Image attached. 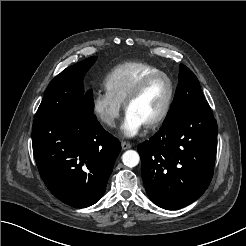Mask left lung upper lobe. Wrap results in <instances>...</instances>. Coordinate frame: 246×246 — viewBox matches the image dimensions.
<instances>
[{
  "label": "left lung upper lobe",
  "instance_id": "obj_1",
  "mask_svg": "<svg viewBox=\"0 0 246 246\" xmlns=\"http://www.w3.org/2000/svg\"><path fill=\"white\" fill-rule=\"evenodd\" d=\"M207 105L208 102L203 96L197 77L189 68L181 64L175 98L163 123L171 121L181 113Z\"/></svg>",
  "mask_w": 246,
  "mask_h": 246
}]
</instances>
